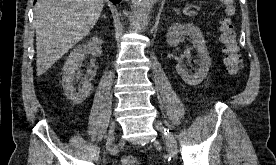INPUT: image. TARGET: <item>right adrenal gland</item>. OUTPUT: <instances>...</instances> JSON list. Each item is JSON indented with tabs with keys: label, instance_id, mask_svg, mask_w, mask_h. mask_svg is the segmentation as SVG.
<instances>
[{
	"label": "right adrenal gland",
	"instance_id": "1",
	"mask_svg": "<svg viewBox=\"0 0 276 165\" xmlns=\"http://www.w3.org/2000/svg\"><path fill=\"white\" fill-rule=\"evenodd\" d=\"M102 17L106 18V16H105V15H103Z\"/></svg>",
	"mask_w": 276,
	"mask_h": 165
}]
</instances>
